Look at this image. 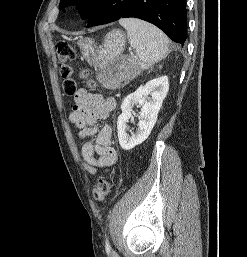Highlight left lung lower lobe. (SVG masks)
<instances>
[{"label": "left lung lower lobe", "mask_w": 247, "mask_h": 257, "mask_svg": "<svg viewBox=\"0 0 247 257\" xmlns=\"http://www.w3.org/2000/svg\"><path fill=\"white\" fill-rule=\"evenodd\" d=\"M126 17L139 18L156 25L182 46L186 41V0H103L89 17L87 27Z\"/></svg>", "instance_id": "1"}]
</instances>
